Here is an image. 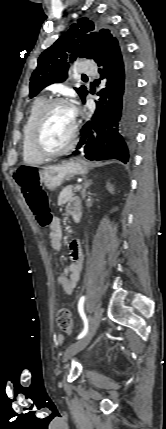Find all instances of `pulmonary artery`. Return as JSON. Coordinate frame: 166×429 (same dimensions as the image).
Instances as JSON below:
<instances>
[{
  "label": "pulmonary artery",
  "instance_id": "e3ab8cb5",
  "mask_svg": "<svg viewBox=\"0 0 166 429\" xmlns=\"http://www.w3.org/2000/svg\"><path fill=\"white\" fill-rule=\"evenodd\" d=\"M84 75H92L94 72V68L92 66H85L80 70Z\"/></svg>",
  "mask_w": 166,
  "mask_h": 429
}]
</instances>
